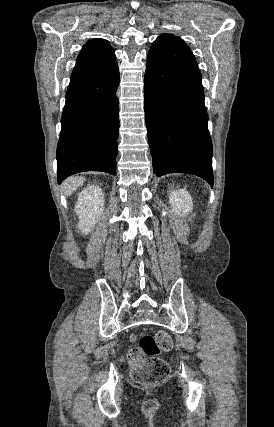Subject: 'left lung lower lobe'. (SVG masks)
<instances>
[{
  "mask_svg": "<svg viewBox=\"0 0 274 427\" xmlns=\"http://www.w3.org/2000/svg\"><path fill=\"white\" fill-rule=\"evenodd\" d=\"M145 119L157 176L197 175L213 186L212 142L201 73L188 46L160 36L147 59Z\"/></svg>",
  "mask_w": 274,
  "mask_h": 427,
  "instance_id": "1",
  "label": "left lung lower lobe"
}]
</instances>
